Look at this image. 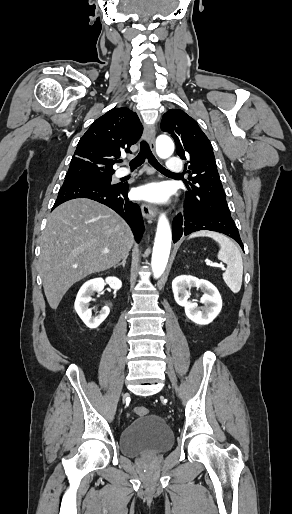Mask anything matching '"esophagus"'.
<instances>
[{"instance_id":"obj_1","label":"esophagus","mask_w":292,"mask_h":514,"mask_svg":"<svg viewBox=\"0 0 292 514\" xmlns=\"http://www.w3.org/2000/svg\"><path fill=\"white\" fill-rule=\"evenodd\" d=\"M144 138L149 143L152 151L155 150V128L145 126L144 127ZM142 214L146 219L152 221L157 216V209L153 205L150 204H141Z\"/></svg>"}]
</instances>
